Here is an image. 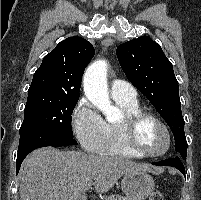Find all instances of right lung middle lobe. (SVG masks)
Masks as SVG:
<instances>
[{"label":"right lung middle lobe","mask_w":201,"mask_h":200,"mask_svg":"<svg viewBox=\"0 0 201 200\" xmlns=\"http://www.w3.org/2000/svg\"><path fill=\"white\" fill-rule=\"evenodd\" d=\"M78 99L46 92L28 93L20 133L47 130L73 137L71 114Z\"/></svg>","instance_id":"obj_1"}]
</instances>
